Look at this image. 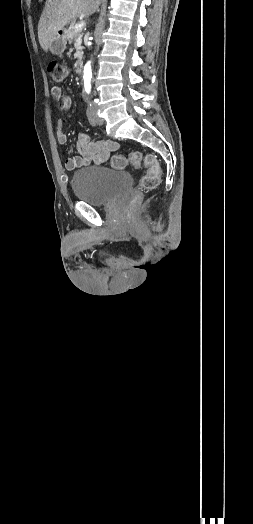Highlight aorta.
Instances as JSON below:
<instances>
[{
    "label": "aorta",
    "mask_w": 253,
    "mask_h": 524,
    "mask_svg": "<svg viewBox=\"0 0 253 524\" xmlns=\"http://www.w3.org/2000/svg\"><path fill=\"white\" fill-rule=\"evenodd\" d=\"M83 79H84V87L87 92L91 89V79H92V68L90 62H87L84 67V73H83Z\"/></svg>",
    "instance_id": "obj_1"
}]
</instances>
